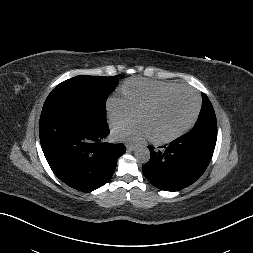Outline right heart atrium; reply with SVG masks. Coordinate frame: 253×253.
Instances as JSON below:
<instances>
[{"instance_id": "d8ad5b80", "label": "right heart atrium", "mask_w": 253, "mask_h": 253, "mask_svg": "<svg viewBox=\"0 0 253 253\" xmlns=\"http://www.w3.org/2000/svg\"><path fill=\"white\" fill-rule=\"evenodd\" d=\"M109 122L111 125L125 123L132 120L135 116V111L128 102L121 97H111L106 102Z\"/></svg>"}]
</instances>
